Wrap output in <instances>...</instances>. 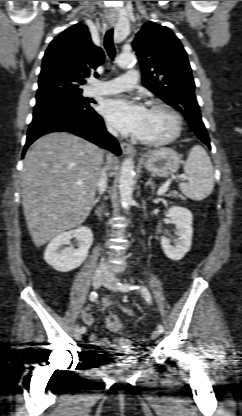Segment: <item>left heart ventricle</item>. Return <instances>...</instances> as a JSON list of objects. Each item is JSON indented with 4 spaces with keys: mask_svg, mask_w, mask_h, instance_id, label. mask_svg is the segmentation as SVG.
Masks as SVG:
<instances>
[{
    "mask_svg": "<svg viewBox=\"0 0 242 416\" xmlns=\"http://www.w3.org/2000/svg\"><path fill=\"white\" fill-rule=\"evenodd\" d=\"M173 128L171 115L162 109H146V113L136 135L145 140H158L169 135Z\"/></svg>",
    "mask_w": 242,
    "mask_h": 416,
    "instance_id": "obj_1",
    "label": "left heart ventricle"
}]
</instances>
